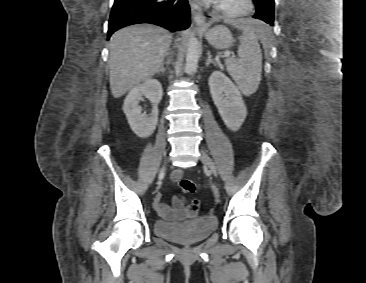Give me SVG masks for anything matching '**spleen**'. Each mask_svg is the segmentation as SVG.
<instances>
[{"instance_id":"1","label":"spleen","mask_w":366,"mask_h":283,"mask_svg":"<svg viewBox=\"0 0 366 283\" xmlns=\"http://www.w3.org/2000/svg\"><path fill=\"white\" fill-rule=\"evenodd\" d=\"M244 33L239 38L238 59L228 58L225 61L226 70L245 96H250L261 81L262 53L258 40L260 36L259 22L247 19L241 21Z\"/></svg>"}]
</instances>
